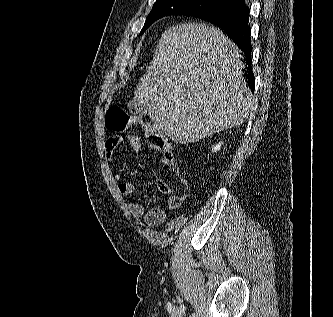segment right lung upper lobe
<instances>
[{
	"mask_svg": "<svg viewBox=\"0 0 333 317\" xmlns=\"http://www.w3.org/2000/svg\"><path fill=\"white\" fill-rule=\"evenodd\" d=\"M230 3H234L236 1H239V0H228Z\"/></svg>",
	"mask_w": 333,
	"mask_h": 317,
	"instance_id": "obj_1",
	"label": "right lung upper lobe"
}]
</instances>
